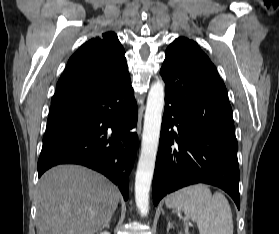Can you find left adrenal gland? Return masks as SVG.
<instances>
[{
	"mask_svg": "<svg viewBox=\"0 0 279 234\" xmlns=\"http://www.w3.org/2000/svg\"><path fill=\"white\" fill-rule=\"evenodd\" d=\"M174 228L173 224L169 221L167 225V232L171 229Z\"/></svg>",
	"mask_w": 279,
	"mask_h": 234,
	"instance_id": "a2214340",
	"label": "left adrenal gland"
}]
</instances>
